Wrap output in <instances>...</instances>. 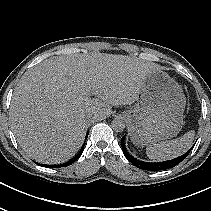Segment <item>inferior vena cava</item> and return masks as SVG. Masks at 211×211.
<instances>
[{
    "label": "inferior vena cava",
    "instance_id": "obj_1",
    "mask_svg": "<svg viewBox=\"0 0 211 211\" xmlns=\"http://www.w3.org/2000/svg\"><path fill=\"white\" fill-rule=\"evenodd\" d=\"M94 119H96L94 116L93 117H88V120H94Z\"/></svg>",
    "mask_w": 211,
    "mask_h": 211
}]
</instances>
